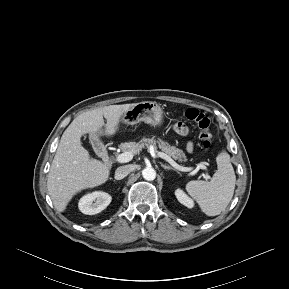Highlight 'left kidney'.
Segmentation results:
<instances>
[{
	"label": "left kidney",
	"instance_id": "1",
	"mask_svg": "<svg viewBox=\"0 0 289 289\" xmlns=\"http://www.w3.org/2000/svg\"><path fill=\"white\" fill-rule=\"evenodd\" d=\"M175 195L178 201L188 208H192L194 206V202L190 199L181 189H177L175 191Z\"/></svg>",
	"mask_w": 289,
	"mask_h": 289
}]
</instances>
